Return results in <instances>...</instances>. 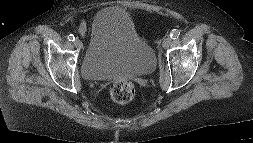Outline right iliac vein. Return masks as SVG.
<instances>
[{
  "label": "right iliac vein",
  "mask_w": 253,
  "mask_h": 143,
  "mask_svg": "<svg viewBox=\"0 0 253 143\" xmlns=\"http://www.w3.org/2000/svg\"><path fill=\"white\" fill-rule=\"evenodd\" d=\"M74 45H75V47H77L78 49H81L82 46H83L82 42H81L79 39H75V40H74Z\"/></svg>",
  "instance_id": "right-iliac-vein-1"
}]
</instances>
